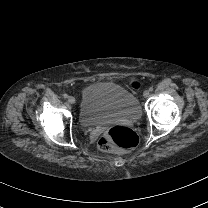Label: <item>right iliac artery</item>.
<instances>
[{
	"mask_svg": "<svg viewBox=\"0 0 208 208\" xmlns=\"http://www.w3.org/2000/svg\"><path fill=\"white\" fill-rule=\"evenodd\" d=\"M63 97L65 98V99H67L69 96H68V94H63Z\"/></svg>",
	"mask_w": 208,
	"mask_h": 208,
	"instance_id": "right-iliac-artery-1",
	"label": "right iliac artery"
}]
</instances>
